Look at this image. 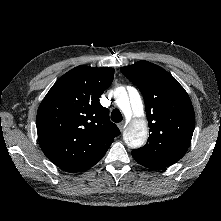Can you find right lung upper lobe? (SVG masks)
<instances>
[{"label": "right lung upper lobe", "instance_id": "1", "mask_svg": "<svg viewBox=\"0 0 221 221\" xmlns=\"http://www.w3.org/2000/svg\"><path fill=\"white\" fill-rule=\"evenodd\" d=\"M113 76L111 67H75L56 81L41 102L36 117L39 143L60 169L91 168L120 135L108 109L99 102Z\"/></svg>", "mask_w": 221, "mask_h": 221}]
</instances>
